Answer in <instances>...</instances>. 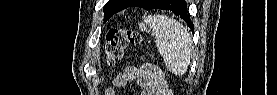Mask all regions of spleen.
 <instances>
[{
	"mask_svg": "<svg viewBox=\"0 0 277 95\" xmlns=\"http://www.w3.org/2000/svg\"><path fill=\"white\" fill-rule=\"evenodd\" d=\"M141 31H152L159 54L175 75L186 73L190 64L192 40L187 29L173 18L155 14L139 24Z\"/></svg>",
	"mask_w": 277,
	"mask_h": 95,
	"instance_id": "obj_1",
	"label": "spleen"
}]
</instances>
